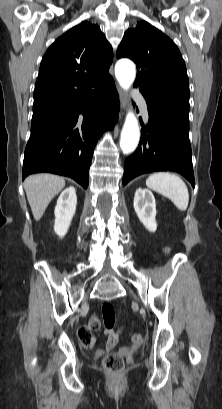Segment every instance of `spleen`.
<instances>
[{
    "label": "spleen",
    "mask_w": 222,
    "mask_h": 409,
    "mask_svg": "<svg viewBox=\"0 0 222 409\" xmlns=\"http://www.w3.org/2000/svg\"><path fill=\"white\" fill-rule=\"evenodd\" d=\"M146 185L169 198L180 211L187 209L189 203L188 188L179 176L168 172L154 173L147 178Z\"/></svg>",
    "instance_id": "spleen-1"
}]
</instances>
